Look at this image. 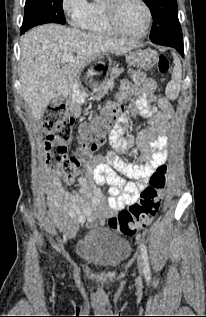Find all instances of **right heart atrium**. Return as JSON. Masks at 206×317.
<instances>
[{
	"label": "right heart atrium",
	"instance_id": "obj_1",
	"mask_svg": "<svg viewBox=\"0 0 206 317\" xmlns=\"http://www.w3.org/2000/svg\"><path fill=\"white\" fill-rule=\"evenodd\" d=\"M61 6L72 26L83 27L89 9L87 0H62Z\"/></svg>",
	"mask_w": 206,
	"mask_h": 317
}]
</instances>
